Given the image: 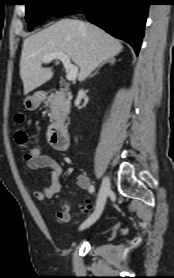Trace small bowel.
<instances>
[{
	"label": "small bowel",
	"mask_w": 174,
	"mask_h": 278,
	"mask_svg": "<svg viewBox=\"0 0 174 278\" xmlns=\"http://www.w3.org/2000/svg\"><path fill=\"white\" fill-rule=\"evenodd\" d=\"M26 167L30 170L43 168H49L52 170L50 185L42 190H38L33 193V196L37 201L42 202L47 198H52L60 192V178L62 175V167L55 159L48 155L39 153V155L35 159L26 162ZM76 184L80 189L86 191H89L91 186H93L91 184L90 178L85 174H81L77 177ZM72 207L73 205L71 199L65 198L62 209L57 213V219L59 222L66 223L70 220Z\"/></svg>",
	"instance_id": "c3829d8e"
}]
</instances>
